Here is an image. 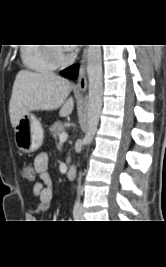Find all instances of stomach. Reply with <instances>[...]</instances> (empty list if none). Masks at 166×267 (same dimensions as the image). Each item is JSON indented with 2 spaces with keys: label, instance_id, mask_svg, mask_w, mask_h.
Masks as SVG:
<instances>
[{
  "label": "stomach",
  "instance_id": "obj_1",
  "mask_svg": "<svg viewBox=\"0 0 166 267\" xmlns=\"http://www.w3.org/2000/svg\"><path fill=\"white\" fill-rule=\"evenodd\" d=\"M43 137L41 123L33 114L24 115L15 126V143L18 149L24 153L38 150L42 145Z\"/></svg>",
  "mask_w": 166,
  "mask_h": 267
}]
</instances>
